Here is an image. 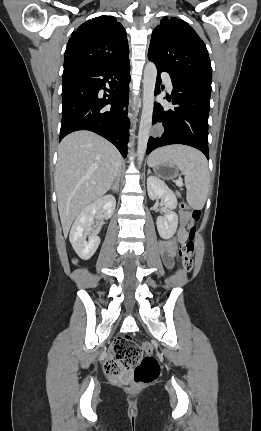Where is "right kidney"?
Returning a JSON list of instances; mask_svg holds the SVG:
<instances>
[{
    "mask_svg": "<svg viewBox=\"0 0 261 431\" xmlns=\"http://www.w3.org/2000/svg\"><path fill=\"white\" fill-rule=\"evenodd\" d=\"M115 207V198L111 195H106L86 206L78 214L70 230L69 239L80 258L84 260L90 259L100 244V238L97 235L103 222H100L90 235L86 233L91 230L95 215H99L104 219H109L113 215ZM87 236L88 241L86 240Z\"/></svg>",
    "mask_w": 261,
    "mask_h": 431,
    "instance_id": "right-kidney-1",
    "label": "right kidney"
}]
</instances>
